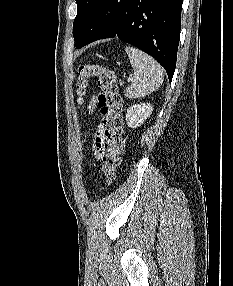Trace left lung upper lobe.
Wrapping results in <instances>:
<instances>
[{
  "label": "left lung upper lobe",
  "instance_id": "5c2ea615",
  "mask_svg": "<svg viewBox=\"0 0 233 286\" xmlns=\"http://www.w3.org/2000/svg\"><path fill=\"white\" fill-rule=\"evenodd\" d=\"M99 2L100 0H76L77 16L73 23V36L75 41L79 38Z\"/></svg>",
  "mask_w": 233,
  "mask_h": 286
}]
</instances>
